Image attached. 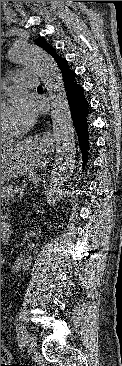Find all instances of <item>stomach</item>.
I'll use <instances>...</instances> for the list:
<instances>
[{"label":"stomach","instance_id":"1","mask_svg":"<svg viewBox=\"0 0 122 366\" xmlns=\"http://www.w3.org/2000/svg\"><path fill=\"white\" fill-rule=\"evenodd\" d=\"M29 143L31 148H37L33 140L29 141ZM24 152V148L18 151H11L6 153L5 158H1V184L18 174Z\"/></svg>","mask_w":122,"mask_h":366}]
</instances>
